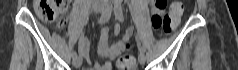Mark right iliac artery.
Wrapping results in <instances>:
<instances>
[{
  "mask_svg": "<svg viewBox=\"0 0 238 70\" xmlns=\"http://www.w3.org/2000/svg\"><path fill=\"white\" fill-rule=\"evenodd\" d=\"M110 17H111V9L105 10V11L102 13V15H101V17H100V19H99V21H98L99 24H104V23H106V22L110 19ZM72 57H73V58H74V57H77L76 51H73Z\"/></svg>",
  "mask_w": 238,
  "mask_h": 70,
  "instance_id": "1",
  "label": "right iliac artery"
}]
</instances>
